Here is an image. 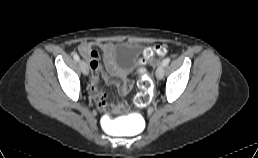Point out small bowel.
Wrapping results in <instances>:
<instances>
[{
    "label": "small bowel",
    "mask_w": 258,
    "mask_h": 158,
    "mask_svg": "<svg viewBox=\"0 0 258 158\" xmlns=\"http://www.w3.org/2000/svg\"><path fill=\"white\" fill-rule=\"evenodd\" d=\"M97 49L103 54V63L106 70L104 74L100 64L101 56ZM113 50L112 43L102 41L82 42L78 46L79 53L88 61L92 72L89 86L90 95L100 109H105L107 106V95L99 91V83L102 77L108 84L115 85L121 95H126L133 85L129 70H120L116 67Z\"/></svg>",
    "instance_id": "obj_1"
}]
</instances>
